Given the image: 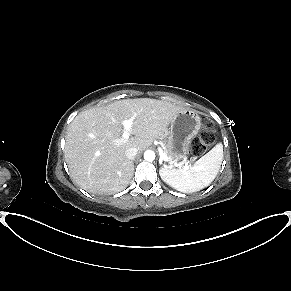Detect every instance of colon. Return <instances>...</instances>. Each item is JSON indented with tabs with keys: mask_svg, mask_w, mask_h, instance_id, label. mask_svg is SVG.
<instances>
[{
	"mask_svg": "<svg viewBox=\"0 0 291 291\" xmlns=\"http://www.w3.org/2000/svg\"><path fill=\"white\" fill-rule=\"evenodd\" d=\"M213 131L214 125L211 122H205L203 124L200 135L190 142V151L192 154L200 155L207 150L213 141Z\"/></svg>",
	"mask_w": 291,
	"mask_h": 291,
	"instance_id": "obj_1",
	"label": "colon"
}]
</instances>
